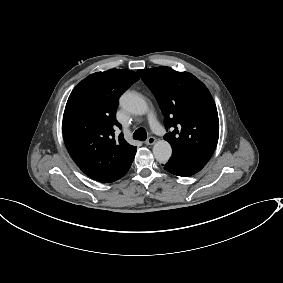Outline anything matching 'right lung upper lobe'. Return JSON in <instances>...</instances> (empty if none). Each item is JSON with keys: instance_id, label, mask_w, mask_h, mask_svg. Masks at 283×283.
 Masks as SVG:
<instances>
[{"instance_id": "right-lung-upper-lobe-1", "label": "right lung upper lobe", "mask_w": 283, "mask_h": 283, "mask_svg": "<svg viewBox=\"0 0 283 283\" xmlns=\"http://www.w3.org/2000/svg\"><path fill=\"white\" fill-rule=\"evenodd\" d=\"M139 80L134 71L111 69L91 74L70 94L63 116L66 148L90 178L113 182L129 170L136 147L120 134L115 139L116 109L120 95Z\"/></svg>"}]
</instances>
